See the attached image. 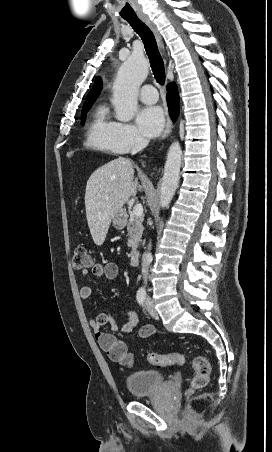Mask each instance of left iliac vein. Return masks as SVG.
<instances>
[{"mask_svg": "<svg viewBox=\"0 0 272 452\" xmlns=\"http://www.w3.org/2000/svg\"><path fill=\"white\" fill-rule=\"evenodd\" d=\"M147 309H148L149 314L153 318L158 319V313L156 312L152 302H150V301L147 302Z\"/></svg>", "mask_w": 272, "mask_h": 452, "instance_id": "4c4485c4", "label": "left iliac vein"}]
</instances>
